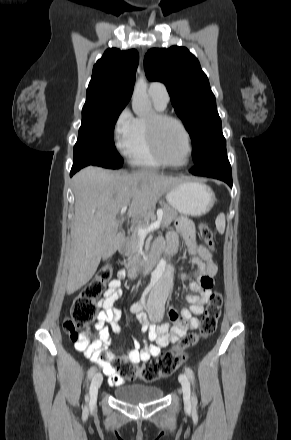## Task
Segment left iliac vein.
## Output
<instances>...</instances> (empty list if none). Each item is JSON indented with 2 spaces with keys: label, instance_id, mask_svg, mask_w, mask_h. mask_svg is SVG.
I'll return each instance as SVG.
<instances>
[{
  "label": "left iliac vein",
  "instance_id": "1",
  "mask_svg": "<svg viewBox=\"0 0 291 440\" xmlns=\"http://www.w3.org/2000/svg\"><path fill=\"white\" fill-rule=\"evenodd\" d=\"M179 381L182 385L184 401L186 404H189L191 398V388H190V381L188 379V376L186 374L181 373L179 375Z\"/></svg>",
  "mask_w": 291,
  "mask_h": 440
}]
</instances>
